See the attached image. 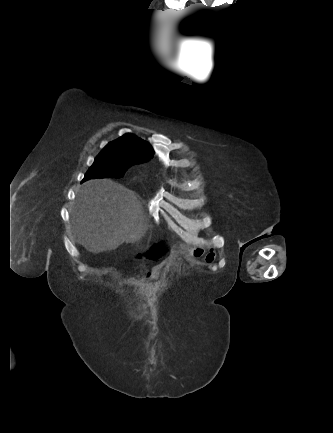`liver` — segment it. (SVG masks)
Here are the masks:
<instances>
[{
	"mask_svg": "<svg viewBox=\"0 0 333 433\" xmlns=\"http://www.w3.org/2000/svg\"><path fill=\"white\" fill-rule=\"evenodd\" d=\"M71 224L77 242L93 254L139 242L150 227L139 196L110 179L80 186Z\"/></svg>",
	"mask_w": 333,
	"mask_h": 433,
	"instance_id": "6515ba94",
	"label": "liver"
}]
</instances>
